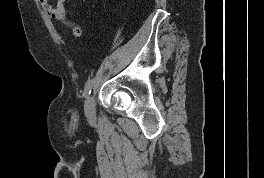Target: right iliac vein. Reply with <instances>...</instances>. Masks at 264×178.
<instances>
[{
	"label": "right iliac vein",
	"mask_w": 264,
	"mask_h": 178,
	"mask_svg": "<svg viewBox=\"0 0 264 178\" xmlns=\"http://www.w3.org/2000/svg\"><path fill=\"white\" fill-rule=\"evenodd\" d=\"M85 115L89 122L93 123L95 121V103L92 95L85 102Z\"/></svg>",
	"instance_id": "right-iliac-vein-1"
}]
</instances>
